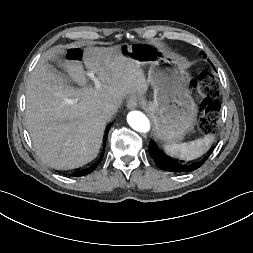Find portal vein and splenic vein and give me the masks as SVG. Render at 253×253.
Listing matches in <instances>:
<instances>
[{
	"label": "portal vein and splenic vein",
	"mask_w": 253,
	"mask_h": 253,
	"mask_svg": "<svg viewBox=\"0 0 253 253\" xmlns=\"http://www.w3.org/2000/svg\"><path fill=\"white\" fill-rule=\"evenodd\" d=\"M86 75L89 76V78H90L91 80H93V82L95 83V88H96V89H99V88L101 87L100 81H99L98 78L94 75L93 72H87Z\"/></svg>",
	"instance_id": "obj_1"
}]
</instances>
